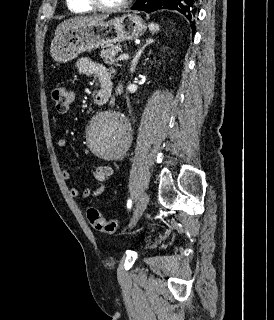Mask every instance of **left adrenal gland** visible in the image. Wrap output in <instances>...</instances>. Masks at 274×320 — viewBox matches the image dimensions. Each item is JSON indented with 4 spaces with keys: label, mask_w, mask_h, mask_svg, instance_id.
Segmentation results:
<instances>
[{
    "label": "left adrenal gland",
    "mask_w": 274,
    "mask_h": 320,
    "mask_svg": "<svg viewBox=\"0 0 274 320\" xmlns=\"http://www.w3.org/2000/svg\"><path fill=\"white\" fill-rule=\"evenodd\" d=\"M152 42H154V40H146L144 46H142V48H140V50H138V52H136L131 64H130V72L131 74H133V72H135V68L145 50V48H147V46H149V44H152Z\"/></svg>",
    "instance_id": "left-adrenal-gland-1"
}]
</instances>
